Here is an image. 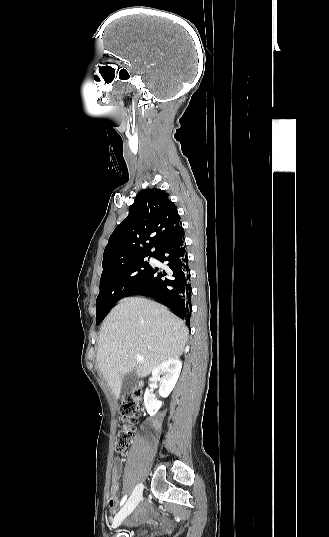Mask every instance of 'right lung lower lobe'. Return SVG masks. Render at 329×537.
<instances>
[{
  "label": "right lung lower lobe",
  "mask_w": 329,
  "mask_h": 537,
  "mask_svg": "<svg viewBox=\"0 0 329 537\" xmlns=\"http://www.w3.org/2000/svg\"><path fill=\"white\" fill-rule=\"evenodd\" d=\"M165 263L164 269L150 266L126 296L143 295L170 307L182 319L191 316V280L184 230L161 246L152 256Z\"/></svg>",
  "instance_id": "obj_1"
}]
</instances>
